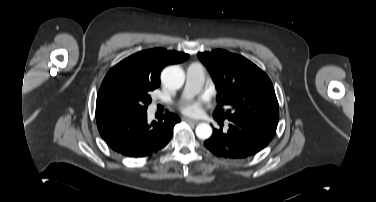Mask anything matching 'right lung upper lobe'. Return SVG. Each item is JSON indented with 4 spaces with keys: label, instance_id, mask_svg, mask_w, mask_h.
<instances>
[{
    "label": "right lung upper lobe",
    "instance_id": "right-lung-upper-lobe-1",
    "mask_svg": "<svg viewBox=\"0 0 376 202\" xmlns=\"http://www.w3.org/2000/svg\"><path fill=\"white\" fill-rule=\"evenodd\" d=\"M188 58L189 55L185 53L159 48L150 49L131 55L111 70H130L151 82L160 83V73L165 66L181 63Z\"/></svg>",
    "mask_w": 376,
    "mask_h": 202
}]
</instances>
